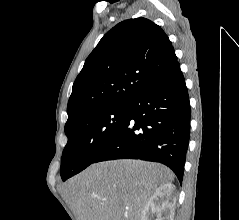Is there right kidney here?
<instances>
[{
	"label": "right kidney",
	"instance_id": "right-kidney-1",
	"mask_svg": "<svg viewBox=\"0 0 239 220\" xmlns=\"http://www.w3.org/2000/svg\"><path fill=\"white\" fill-rule=\"evenodd\" d=\"M175 186L166 183L158 187L149 198L142 212L141 220H173L175 214Z\"/></svg>",
	"mask_w": 239,
	"mask_h": 220
}]
</instances>
